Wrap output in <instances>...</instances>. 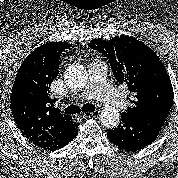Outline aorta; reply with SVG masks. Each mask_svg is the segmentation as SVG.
<instances>
[{"instance_id": "762f6f07", "label": "aorta", "mask_w": 178, "mask_h": 178, "mask_svg": "<svg viewBox=\"0 0 178 178\" xmlns=\"http://www.w3.org/2000/svg\"><path fill=\"white\" fill-rule=\"evenodd\" d=\"M68 86L75 90L85 87L88 76L86 69L81 65H72L65 73ZM100 122L107 128L116 127L120 121L119 111L112 106H105L99 115Z\"/></svg>"}]
</instances>
